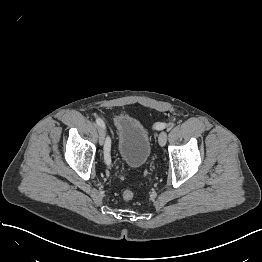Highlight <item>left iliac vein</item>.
<instances>
[{
	"label": "left iliac vein",
	"mask_w": 262,
	"mask_h": 262,
	"mask_svg": "<svg viewBox=\"0 0 262 262\" xmlns=\"http://www.w3.org/2000/svg\"><path fill=\"white\" fill-rule=\"evenodd\" d=\"M159 144L161 147L165 146L166 141H167V133L165 131H162L159 134V138H158Z\"/></svg>",
	"instance_id": "left-iliac-vein-1"
}]
</instances>
